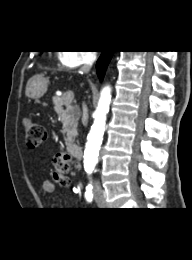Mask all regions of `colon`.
<instances>
[{
    "label": "colon",
    "instance_id": "1",
    "mask_svg": "<svg viewBox=\"0 0 192 260\" xmlns=\"http://www.w3.org/2000/svg\"><path fill=\"white\" fill-rule=\"evenodd\" d=\"M25 141L28 147L36 148L45 140L46 132L42 125L31 120L24 121ZM72 166L71 159L65 154H58L53 160V170L55 180L63 186L69 184V179L66 174L70 171Z\"/></svg>",
    "mask_w": 192,
    "mask_h": 260
}]
</instances>
